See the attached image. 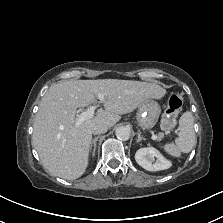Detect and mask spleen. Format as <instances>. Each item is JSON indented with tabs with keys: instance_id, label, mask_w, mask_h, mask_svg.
<instances>
[{
	"instance_id": "spleen-1",
	"label": "spleen",
	"mask_w": 223,
	"mask_h": 223,
	"mask_svg": "<svg viewBox=\"0 0 223 223\" xmlns=\"http://www.w3.org/2000/svg\"><path fill=\"white\" fill-rule=\"evenodd\" d=\"M193 127L194 117L191 112L186 111L179 119V134L175 143L165 144V152L177 158L181 156V153H189L197 143Z\"/></svg>"
}]
</instances>
